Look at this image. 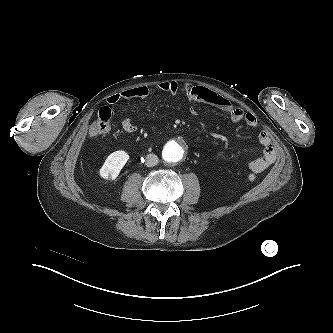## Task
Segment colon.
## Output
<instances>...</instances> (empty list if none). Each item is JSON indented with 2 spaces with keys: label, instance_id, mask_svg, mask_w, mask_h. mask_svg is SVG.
I'll return each instance as SVG.
<instances>
[{
  "label": "colon",
  "instance_id": "5ec220e1",
  "mask_svg": "<svg viewBox=\"0 0 333 333\" xmlns=\"http://www.w3.org/2000/svg\"><path fill=\"white\" fill-rule=\"evenodd\" d=\"M112 120L113 114L111 109L103 107L90 125V134L94 137L104 136L111 128ZM247 179L249 182H254L256 180V175L250 173L248 174Z\"/></svg>",
  "mask_w": 333,
  "mask_h": 333
}]
</instances>
